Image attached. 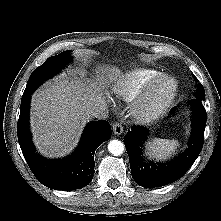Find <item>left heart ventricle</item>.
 I'll return each mask as SVG.
<instances>
[{"label": "left heart ventricle", "instance_id": "left-heart-ventricle-1", "mask_svg": "<svg viewBox=\"0 0 221 221\" xmlns=\"http://www.w3.org/2000/svg\"><path fill=\"white\" fill-rule=\"evenodd\" d=\"M167 91V87L166 86H162L160 87L156 93H155V97L156 98H161Z\"/></svg>", "mask_w": 221, "mask_h": 221}]
</instances>
